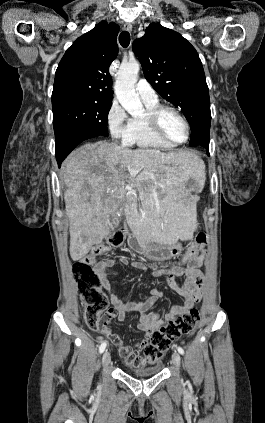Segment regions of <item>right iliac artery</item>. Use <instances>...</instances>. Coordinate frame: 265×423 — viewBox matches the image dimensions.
Masks as SVG:
<instances>
[{
    "label": "right iliac artery",
    "mask_w": 265,
    "mask_h": 423,
    "mask_svg": "<svg viewBox=\"0 0 265 423\" xmlns=\"http://www.w3.org/2000/svg\"><path fill=\"white\" fill-rule=\"evenodd\" d=\"M106 348V342H103L99 347V353L102 354Z\"/></svg>",
    "instance_id": "right-iliac-artery-1"
}]
</instances>
